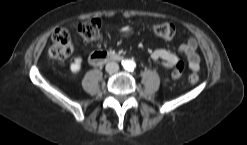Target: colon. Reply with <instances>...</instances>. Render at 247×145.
<instances>
[{
  "mask_svg": "<svg viewBox=\"0 0 247 145\" xmlns=\"http://www.w3.org/2000/svg\"><path fill=\"white\" fill-rule=\"evenodd\" d=\"M101 29V21L98 18H91L79 25L80 35L89 41H94L99 38ZM153 32L164 39H171L175 35V26L171 22H161L154 24ZM74 46L69 32L65 28L57 29L52 36V44L49 48V56L53 60H63L71 55ZM184 70V64L178 61L174 65L173 77L179 78ZM191 84H196L199 81L197 74H191L188 77Z\"/></svg>",
  "mask_w": 247,
  "mask_h": 145,
  "instance_id": "1",
  "label": "colon"
}]
</instances>
